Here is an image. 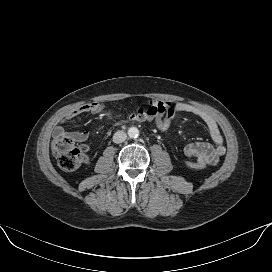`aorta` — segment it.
<instances>
[{
	"label": "aorta",
	"mask_w": 272,
	"mask_h": 272,
	"mask_svg": "<svg viewBox=\"0 0 272 272\" xmlns=\"http://www.w3.org/2000/svg\"><path fill=\"white\" fill-rule=\"evenodd\" d=\"M128 135L130 138H136L139 135V130L136 127H130L128 129Z\"/></svg>",
	"instance_id": "1"
}]
</instances>
